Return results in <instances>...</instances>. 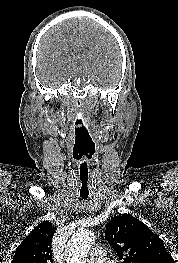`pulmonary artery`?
<instances>
[{"instance_id": "e3ab8cb5", "label": "pulmonary artery", "mask_w": 178, "mask_h": 263, "mask_svg": "<svg viewBox=\"0 0 178 263\" xmlns=\"http://www.w3.org/2000/svg\"><path fill=\"white\" fill-rule=\"evenodd\" d=\"M108 254L103 247H94L90 250L87 258L88 263H107Z\"/></svg>"}]
</instances>
